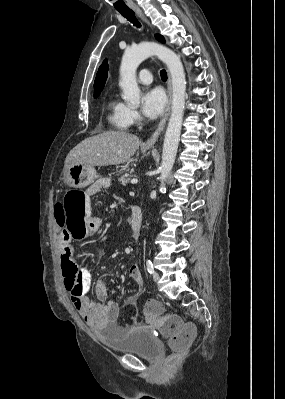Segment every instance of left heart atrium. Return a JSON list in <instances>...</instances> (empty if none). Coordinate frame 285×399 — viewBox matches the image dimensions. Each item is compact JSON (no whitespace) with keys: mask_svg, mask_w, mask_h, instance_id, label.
<instances>
[{"mask_svg":"<svg viewBox=\"0 0 285 399\" xmlns=\"http://www.w3.org/2000/svg\"><path fill=\"white\" fill-rule=\"evenodd\" d=\"M167 98L159 88L146 91L142 97V111L149 118L160 116L166 107Z\"/></svg>","mask_w":285,"mask_h":399,"instance_id":"obj_1","label":"left heart atrium"}]
</instances>
